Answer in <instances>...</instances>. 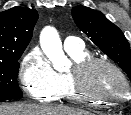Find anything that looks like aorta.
<instances>
[{
    "label": "aorta",
    "mask_w": 131,
    "mask_h": 115,
    "mask_svg": "<svg viewBox=\"0 0 131 115\" xmlns=\"http://www.w3.org/2000/svg\"><path fill=\"white\" fill-rule=\"evenodd\" d=\"M40 45L44 54L52 62L54 69L59 72L65 71L67 58L64 55L57 30L53 27H45L40 35Z\"/></svg>",
    "instance_id": "762f6f07"
}]
</instances>
